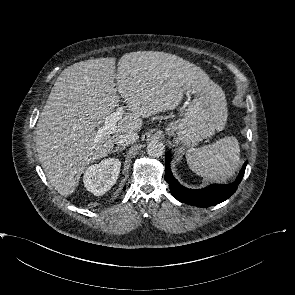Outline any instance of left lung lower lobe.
Here are the masks:
<instances>
[{"label":"left lung lower lobe","mask_w":295,"mask_h":295,"mask_svg":"<svg viewBox=\"0 0 295 295\" xmlns=\"http://www.w3.org/2000/svg\"><path fill=\"white\" fill-rule=\"evenodd\" d=\"M165 180L169 184L170 192L174 198L182 203L198 206L209 207L221 203L228 199L237 190L238 184L241 182L247 161L234 183L230 184H211L203 189H188L178 183L170 170V155L165 154Z\"/></svg>","instance_id":"obj_1"}]
</instances>
